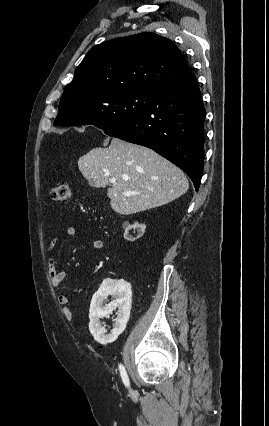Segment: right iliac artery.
Returning a JSON list of instances; mask_svg holds the SVG:
<instances>
[{
    "instance_id": "obj_1",
    "label": "right iliac artery",
    "mask_w": 269,
    "mask_h": 426,
    "mask_svg": "<svg viewBox=\"0 0 269 426\" xmlns=\"http://www.w3.org/2000/svg\"><path fill=\"white\" fill-rule=\"evenodd\" d=\"M119 370H120V375H121L123 383L125 384L126 387H129L130 385L129 378L125 370V367L122 364H119Z\"/></svg>"
}]
</instances>
